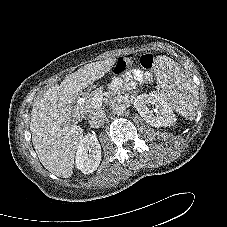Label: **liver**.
Wrapping results in <instances>:
<instances>
[{"instance_id":"liver-1","label":"liver","mask_w":227,"mask_h":227,"mask_svg":"<svg viewBox=\"0 0 227 227\" xmlns=\"http://www.w3.org/2000/svg\"><path fill=\"white\" fill-rule=\"evenodd\" d=\"M116 58L87 64L52 85L38 98L31 111L30 131L42 165L58 177L73 174L74 157L83 129L69 124L81 91L110 72Z\"/></svg>"}]
</instances>
